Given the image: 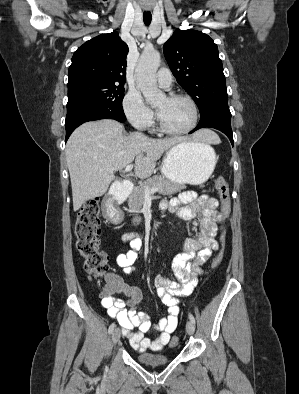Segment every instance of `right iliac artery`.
<instances>
[{"label": "right iliac artery", "instance_id": "1", "mask_svg": "<svg viewBox=\"0 0 299 394\" xmlns=\"http://www.w3.org/2000/svg\"><path fill=\"white\" fill-rule=\"evenodd\" d=\"M114 328H115V323H112V324L109 326V329H108L109 334H111V333L113 332Z\"/></svg>", "mask_w": 299, "mask_h": 394}]
</instances>
